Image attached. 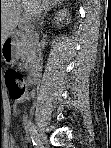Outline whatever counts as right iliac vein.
I'll use <instances>...</instances> for the list:
<instances>
[{"mask_svg": "<svg viewBox=\"0 0 111 148\" xmlns=\"http://www.w3.org/2000/svg\"><path fill=\"white\" fill-rule=\"evenodd\" d=\"M33 136L35 137V139L40 147H43L44 144H46V137L43 134L40 124L35 128V133Z\"/></svg>", "mask_w": 111, "mask_h": 148, "instance_id": "1", "label": "right iliac vein"}]
</instances>
